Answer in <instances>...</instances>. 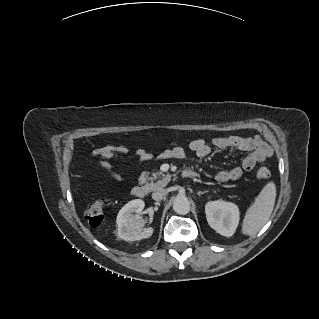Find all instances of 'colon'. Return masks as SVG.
<instances>
[{
	"label": "colon",
	"mask_w": 319,
	"mask_h": 319,
	"mask_svg": "<svg viewBox=\"0 0 319 319\" xmlns=\"http://www.w3.org/2000/svg\"><path fill=\"white\" fill-rule=\"evenodd\" d=\"M256 175L260 179H266L270 176V171L265 167H261L257 170ZM85 215L88 223L91 226H99L104 219L103 203L101 201L92 202L86 209Z\"/></svg>",
	"instance_id": "1"
}]
</instances>
